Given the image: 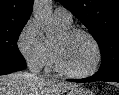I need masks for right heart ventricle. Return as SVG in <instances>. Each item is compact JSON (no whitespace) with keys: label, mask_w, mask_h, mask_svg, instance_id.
Segmentation results:
<instances>
[{"label":"right heart ventricle","mask_w":119,"mask_h":95,"mask_svg":"<svg viewBox=\"0 0 119 95\" xmlns=\"http://www.w3.org/2000/svg\"><path fill=\"white\" fill-rule=\"evenodd\" d=\"M61 25L65 28L68 29L70 27V25H64L61 23ZM50 44V56L48 59V62L46 64L47 68L49 70H56L55 64H54V42L49 41Z\"/></svg>","instance_id":"1"}]
</instances>
